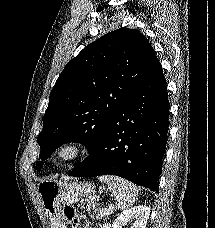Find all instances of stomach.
I'll use <instances>...</instances> for the list:
<instances>
[{
    "label": "stomach",
    "mask_w": 215,
    "mask_h": 228,
    "mask_svg": "<svg viewBox=\"0 0 215 228\" xmlns=\"http://www.w3.org/2000/svg\"><path fill=\"white\" fill-rule=\"evenodd\" d=\"M38 192L49 228H67L65 206L76 204L85 196H93L95 186L90 182L44 180L40 182Z\"/></svg>",
    "instance_id": "0dacf381"
}]
</instances>
